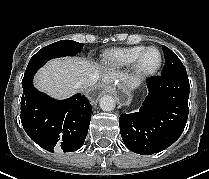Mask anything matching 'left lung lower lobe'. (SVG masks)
<instances>
[{"label":"left lung lower lobe","instance_id":"1","mask_svg":"<svg viewBox=\"0 0 209 179\" xmlns=\"http://www.w3.org/2000/svg\"><path fill=\"white\" fill-rule=\"evenodd\" d=\"M148 96L138 112L119 118L124 144L137 154H154L171 146L188 118L189 80L186 71L148 80Z\"/></svg>","mask_w":209,"mask_h":179}]
</instances>
